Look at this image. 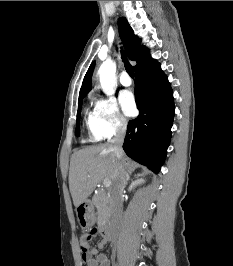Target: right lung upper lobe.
<instances>
[{
    "label": "right lung upper lobe",
    "instance_id": "obj_1",
    "mask_svg": "<svg viewBox=\"0 0 233 266\" xmlns=\"http://www.w3.org/2000/svg\"><path fill=\"white\" fill-rule=\"evenodd\" d=\"M118 26L121 38L123 40L129 58L137 62L136 66H134V69L136 70L137 68L152 59L149 54V50L145 46H140L141 40L138 38V36L134 35V32L128 24L126 18H119ZM94 65L95 62L90 65L84 77L82 87L79 93V98H84L86 94L91 90V76L93 73Z\"/></svg>",
    "mask_w": 233,
    "mask_h": 266
}]
</instances>
